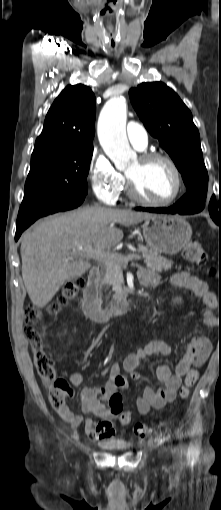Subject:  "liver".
<instances>
[{
  "label": "liver",
  "instance_id": "obj_1",
  "mask_svg": "<svg viewBox=\"0 0 221 510\" xmlns=\"http://www.w3.org/2000/svg\"><path fill=\"white\" fill-rule=\"evenodd\" d=\"M153 214L107 207H84L35 223L21 239L22 278L31 302L46 306L66 282L89 270L88 248L106 250L117 245L123 232ZM82 247L81 251H73Z\"/></svg>",
  "mask_w": 221,
  "mask_h": 510
}]
</instances>
